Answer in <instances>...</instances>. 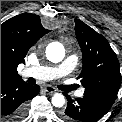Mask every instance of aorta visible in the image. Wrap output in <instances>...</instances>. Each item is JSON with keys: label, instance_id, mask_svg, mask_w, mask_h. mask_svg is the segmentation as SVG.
Here are the masks:
<instances>
[{"label": "aorta", "instance_id": "1", "mask_svg": "<svg viewBox=\"0 0 122 122\" xmlns=\"http://www.w3.org/2000/svg\"><path fill=\"white\" fill-rule=\"evenodd\" d=\"M64 56L65 49L61 43L53 42L47 46L46 57L49 61L58 63L63 60ZM51 102L55 107H62L65 104V97L60 93H56L52 96Z\"/></svg>", "mask_w": 122, "mask_h": 122}]
</instances>
